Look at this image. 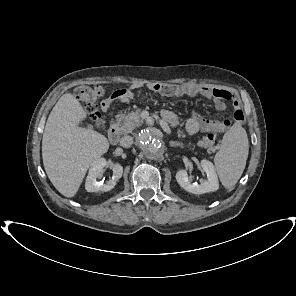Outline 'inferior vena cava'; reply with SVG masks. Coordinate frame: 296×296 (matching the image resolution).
Wrapping results in <instances>:
<instances>
[{
    "instance_id": "1",
    "label": "inferior vena cava",
    "mask_w": 296,
    "mask_h": 296,
    "mask_svg": "<svg viewBox=\"0 0 296 296\" xmlns=\"http://www.w3.org/2000/svg\"><path fill=\"white\" fill-rule=\"evenodd\" d=\"M134 139L132 136H124L120 139V145L125 148H129L132 146Z\"/></svg>"
}]
</instances>
